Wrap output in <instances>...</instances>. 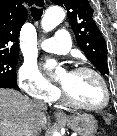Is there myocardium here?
Returning a JSON list of instances; mask_svg holds the SVG:
<instances>
[{
  "label": "myocardium",
  "mask_w": 117,
  "mask_h": 136,
  "mask_svg": "<svg viewBox=\"0 0 117 136\" xmlns=\"http://www.w3.org/2000/svg\"><path fill=\"white\" fill-rule=\"evenodd\" d=\"M72 72H76V73L77 72H89V73H92L93 75H95L102 86L103 93H104V100L100 105H96V106L81 104V103L74 101L72 99V97L67 93V91L64 88H62L63 100L68 105H70L76 109L85 110V111H93L94 112V111H100V110H103L104 108H106L110 102V90H109L108 84H107L105 78L103 77V75L98 70H96L92 67H89V66H77L72 70Z\"/></svg>",
  "instance_id": "1"
}]
</instances>
